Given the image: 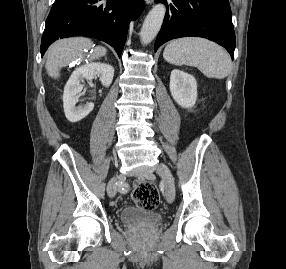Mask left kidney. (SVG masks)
Wrapping results in <instances>:
<instances>
[{
	"mask_svg": "<svg viewBox=\"0 0 286 269\" xmlns=\"http://www.w3.org/2000/svg\"><path fill=\"white\" fill-rule=\"evenodd\" d=\"M170 92L179 106L190 108L197 99L196 79L192 75L174 69L170 76Z\"/></svg>",
	"mask_w": 286,
	"mask_h": 269,
	"instance_id": "5707ae66",
	"label": "left kidney"
}]
</instances>
